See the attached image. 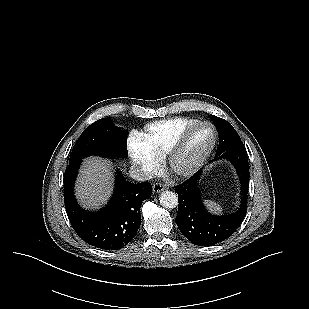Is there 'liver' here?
Instances as JSON below:
<instances>
[{
  "label": "liver",
  "instance_id": "liver-1",
  "mask_svg": "<svg viewBox=\"0 0 309 309\" xmlns=\"http://www.w3.org/2000/svg\"><path fill=\"white\" fill-rule=\"evenodd\" d=\"M112 165L98 157L87 158L76 185V194L86 208H98L106 203L112 191Z\"/></svg>",
  "mask_w": 309,
  "mask_h": 309
}]
</instances>
